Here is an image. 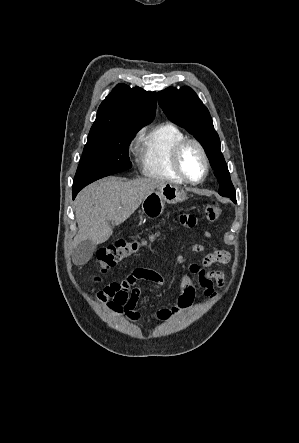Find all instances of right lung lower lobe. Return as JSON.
Here are the masks:
<instances>
[{"mask_svg":"<svg viewBox=\"0 0 299 443\" xmlns=\"http://www.w3.org/2000/svg\"><path fill=\"white\" fill-rule=\"evenodd\" d=\"M78 192H79L78 190L73 191V199L76 197V195H77Z\"/></svg>","mask_w":299,"mask_h":443,"instance_id":"1","label":"right lung lower lobe"}]
</instances>
